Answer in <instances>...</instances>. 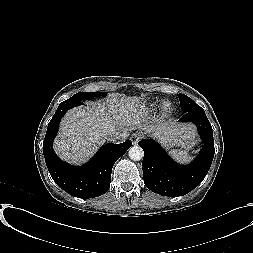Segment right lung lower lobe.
Segmentation results:
<instances>
[{
	"instance_id": "98d812e1",
	"label": "right lung lower lobe",
	"mask_w": 253,
	"mask_h": 253,
	"mask_svg": "<svg viewBox=\"0 0 253 253\" xmlns=\"http://www.w3.org/2000/svg\"><path fill=\"white\" fill-rule=\"evenodd\" d=\"M81 104L82 101H64L59 105L48 124L43 153L48 170L56 184L73 196L93 198L103 195L109 189L113 165L130 148L132 142L127 140L120 144H105L87 164L80 167L61 161L52 146L59 122L67 110Z\"/></svg>"
}]
</instances>
